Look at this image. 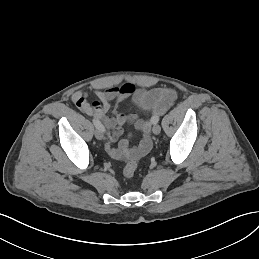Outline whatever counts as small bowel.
<instances>
[{
    "instance_id": "1",
    "label": "small bowel",
    "mask_w": 259,
    "mask_h": 259,
    "mask_svg": "<svg viewBox=\"0 0 259 259\" xmlns=\"http://www.w3.org/2000/svg\"><path fill=\"white\" fill-rule=\"evenodd\" d=\"M94 93L98 100L92 103L88 101L87 93L84 91L75 92L72 101L80 111L93 119L102 121L111 131L105 149L112 158L117 160L139 158L149 152L152 145L150 131L153 118L166 112L176 99V92L172 89H137L132 83L109 88L95 87ZM128 98L149 114L150 118L141 119L136 113L120 112L119 103ZM111 108L114 115H107ZM127 122L133 123L140 132V141L137 146L130 147V139L125 138L119 142L118 147H115L114 143L121 136L122 127Z\"/></svg>"
}]
</instances>
